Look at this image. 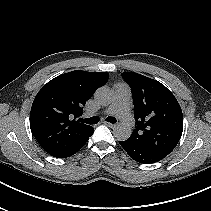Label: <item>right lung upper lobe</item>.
<instances>
[{"label":"right lung upper lobe","instance_id":"1","mask_svg":"<svg viewBox=\"0 0 211 211\" xmlns=\"http://www.w3.org/2000/svg\"><path fill=\"white\" fill-rule=\"evenodd\" d=\"M108 73L75 70L49 81L36 95L30 112L31 132L50 155H57L92 131L76 120L94 92L108 81Z\"/></svg>","mask_w":211,"mask_h":211}]
</instances>
